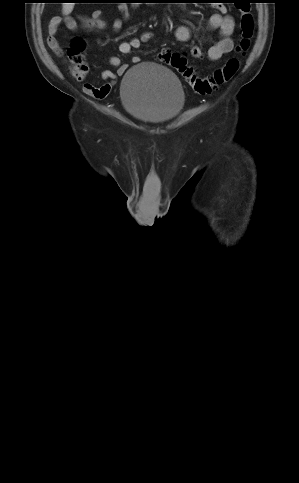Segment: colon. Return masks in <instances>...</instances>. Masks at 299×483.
<instances>
[{
  "label": "colon",
  "instance_id": "5ec220e1",
  "mask_svg": "<svg viewBox=\"0 0 299 483\" xmlns=\"http://www.w3.org/2000/svg\"><path fill=\"white\" fill-rule=\"evenodd\" d=\"M241 37L236 47L239 56H244L250 48L254 32V18L250 10H242L240 21ZM85 42L81 38H75L67 50L68 71L77 80H83L89 70L83 55ZM158 59L171 66L188 82L192 89L200 95H209L223 84L229 82L240 67V57H231L212 75L202 77L187 62L180 53L170 50L161 51Z\"/></svg>",
  "mask_w": 299,
  "mask_h": 483
}]
</instances>
